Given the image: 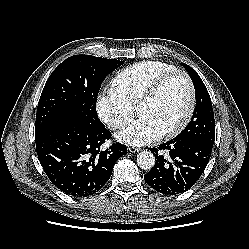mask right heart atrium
Returning <instances> with one entry per match:
<instances>
[{
  "label": "right heart atrium",
  "mask_w": 249,
  "mask_h": 249,
  "mask_svg": "<svg viewBox=\"0 0 249 249\" xmlns=\"http://www.w3.org/2000/svg\"><path fill=\"white\" fill-rule=\"evenodd\" d=\"M95 108L99 119L111 130L126 127L134 116V109L113 89L101 90L96 97Z\"/></svg>",
  "instance_id": "right-heart-atrium-1"
}]
</instances>
